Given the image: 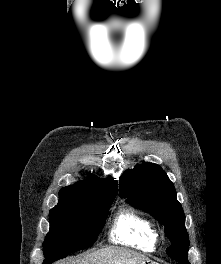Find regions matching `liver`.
Masks as SVG:
<instances>
[{
  "mask_svg": "<svg viewBox=\"0 0 221 264\" xmlns=\"http://www.w3.org/2000/svg\"><path fill=\"white\" fill-rule=\"evenodd\" d=\"M149 258L129 249L106 247L56 264H140Z\"/></svg>",
  "mask_w": 221,
  "mask_h": 264,
  "instance_id": "obj_1",
  "label": "liver"
}]
</instances>
